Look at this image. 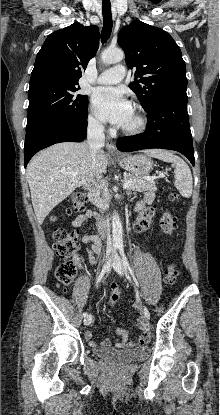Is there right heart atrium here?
<instances>
[{"label": "right heart atrium", "mask_w": 220, "mask_h": 415, "mask_svg": "<svg viewBox=\"0 0 220 415\" xmlns=\"http://www.w3.org/2000/svg\"><path fill=\"white\" fill-rule=\"evenodd\" d=\"M88 126L96 132H101L104 129L102 122L92 113L90 112L87 117Z\"/></svg>", "instance_id": "d8ad5b80"}]
</instances>
